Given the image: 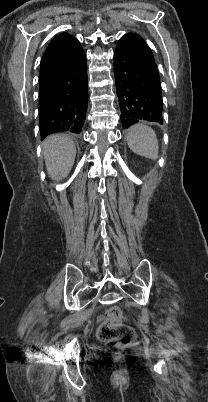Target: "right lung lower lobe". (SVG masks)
Returning <instances> with one entry per match:
<instances>
[{"mask_svg": "<svg viewBox=\"0 0 208 402\" xmlns=\"http://www.w3.org/2000/svg\"><path fill=\"white\" fill-rule=\"evenodd\" d=\"M88 85L86 55L70 34L55 37L47 47L39 74L41 140L49 134L80 133L86 118Z\"/></svg>", "mask_w": 208, "mask_h": 402, "instance_id": "98d812e1", "label": "right lung lower lobe"}]
</instances>
